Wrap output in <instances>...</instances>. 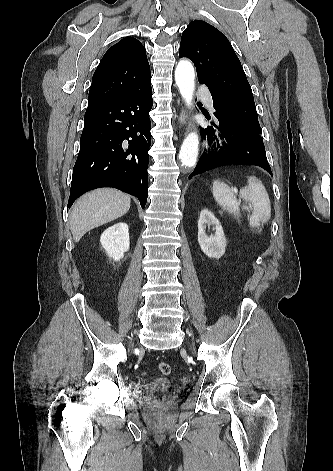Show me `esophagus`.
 Instances as JSON below:
<instances>
[{
  "mask_svg": "<svg viewBox=\"0 0 333 471\" xmlns=\"http://www.w3.org/2000/svg\"><path fill=\"white\" fill-rule=\"evenodd\" d=\"M185 119H186V112H185L184 109H182V111H181V113L178 117V122L181 126L185 124Z\"/></svg>",
  "mask_w": 333,
  "mask_h": 471,
  "instance_id": "esophagus-1",
  "label": "esophagus"
}]
</instances>
